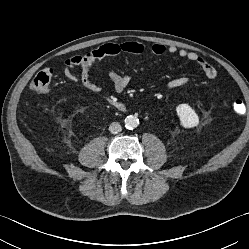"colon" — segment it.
<instances>
[{
	"instance_id": "5ec220e1",
	"label": "colon",
	"mask_w": 249,
	"mask_h": 249,
	"mask_svg": "<svg viewBox=\"0 0 249 249\" xmlns=\"http://www.w3.org/2000/svg\"><path fill=\"white\" fill-rule=\"evenodd\" d=\"M53 77L54 71L51 68L42 69L33 77L29 88L37 94H47L50 91ZM232 109L236 114H241L245 106L242 101L235 100L232 104Z\"/></svg>"
}]
</instances>
